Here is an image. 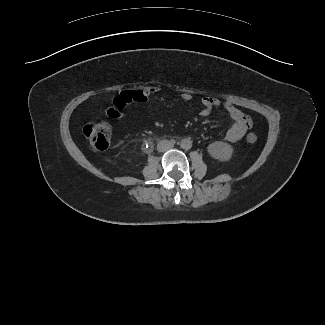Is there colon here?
<instances>
[{
	"label": "colon",
	"instance_id": "obj_1",
	"mask_svg": "<svg viewBox=\"0 0 325 325\" xmlns=\"http://www.w3.org/2000/svg\"><path fill=\"white\" fill-rule=\"evenodd\" d=\"M83 134L88 140L90 148L94 151H104L110 144L112 129L109 123L103 121L91 123L83 128ZM248 143H255L257 135L250 133L246 136Z\"/></svg>",
	"mask_w": 325,
	"mask_h": 325
}]
</instances>
